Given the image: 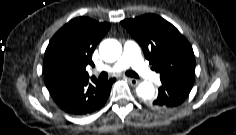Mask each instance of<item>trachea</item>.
I'll return each instance as SVG.
<instances>
[{"label":"trachea","instance_id":"obj_1","mask_svg":"<svg viewBox=\"0 0 236 135\" xmlns=\"http://www.w3.org/2000/svg\"><path fill=\"white\" fill-rule=\"evenodd\" d=\"M127 76L132 77V78H138V74H136L134 71H126L125 73ZM101 80H106L108 78V73L107 72H102L99 76Z\"/></svg>","mask_w":236,"mask_h":135}]
</instances>
